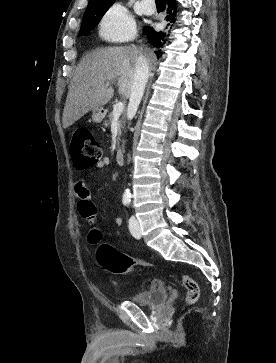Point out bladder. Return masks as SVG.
Wrapping results in <instances>:
<instances>
[{
    "label": "bladder",
    "instance_id": "bladder-1",
    "mask_svg": "<svg viewBox=\"0 0 276 363\" xmlns=\"http://www.w3.org/2000/svg\"><path fill=\"white\" fill-rule=\"evenodd\" d=\"M168 290L163 285L151 283L149 287L133 296L130 301L151 308L163 305L167 300Z\"/></svg>",
    "mask_w": 276,
    "mask_h": 363
}]
</instances>
